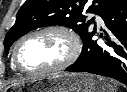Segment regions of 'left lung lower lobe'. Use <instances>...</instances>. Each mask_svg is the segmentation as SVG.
I'll list each match as a JSON object with an SVG mask.
<instances>
[{"instance_id":"1","label":"left lung lower lobe","mask_w":127,"mask_h":92,"mask_svg":"<svg viewBox=\"0 0 127 92\" xmlns=\"http://www.w3.org/2000/svg\"><path fill=\"white\" fill-rule=\"evenodd\" d=\"M100 16L108 29L104 31L105 44L93 41L92 31L82 40L81 55L66 71L111 77L127 85V0L117 1Z\"/></svg>"}]
</instances>
